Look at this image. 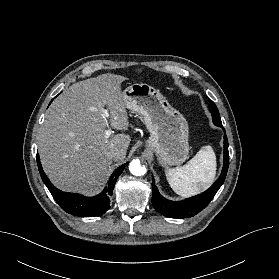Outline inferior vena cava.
<instances>
[{
	"mask_svg": "<svg viewBox=\"0 0 279 279\" xmlns=\"http://www.w3.org/2000/svg\"><path fill=\"white\" fill-rule=\"evenodd\" d=\"M121 154V151L119 149H114L112 151L109 152V156L111 158H116Z\"/></svg>",
	"mask_w": 279,
	"mask_h": 279,
	"instance_id": "obj_1",
	"label": "inferior vena cava"
}]
</instances>
